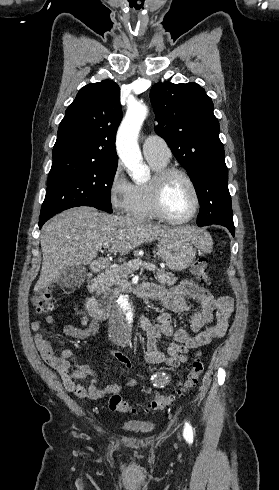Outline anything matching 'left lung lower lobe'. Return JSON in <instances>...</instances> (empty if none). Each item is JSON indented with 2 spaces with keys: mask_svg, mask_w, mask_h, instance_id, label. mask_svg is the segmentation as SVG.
<instances>
[{
  "mask_svg": "<svg viewBox=\"0 0 279 490\" xmlns=\"http://www.w3.org/2000/svg\"><path fill=\"white\" fill-rule=\"evenodd\" d=\"M225 227H227L229 229V231L231 232V234L234 236V233H235L234 225H227Z\"/></svg>",
  "mask_w": 279,
  "mask_h": 490,
  "instance_id": "left-lung-lower-lobe-1",
  "label": "left lung lower lobe"
}]
</instances>
